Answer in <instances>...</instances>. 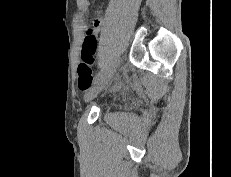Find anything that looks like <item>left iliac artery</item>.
I'll return each instance as SVG.
<instances>
[{
	"mask_svg": "<svg viewBox=\"0 0 231 177\" xmlns=\"http://www.w3.org/2000/svg\"><path fill=\"white\" fill-rule=\"evenodd\" d=\"M106 70H107V67L103 66L102 69L95 75L94 80L97 81L102 76L103 72Z\"/></svg>",
	"mask_w": 231,
	"mask_h": 177,
	"instance_id": "1",
	"label": "left iliac artery"
}]
</instances>
